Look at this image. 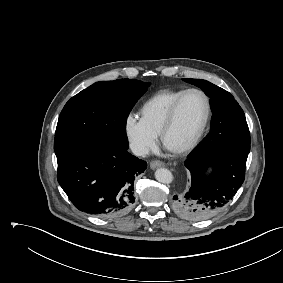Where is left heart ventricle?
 I'll return each instance as SVG.
<instances>
[{
    "instance_id": "obj_1",
    "label": "left heart ventricle",
    "mask_w": 283,
    "mask_h": 283,
    "mask_svg": "<svg viewBox=\"0 0 283 283\" xmlns=\"http://www.w3.org/2000/svg\"><path fill=\"white\" fill-rule=\"evenodd\" d=\"M205 112L206 105L201 95H187L178 109L174 124L166 134V147L175 150L187 145L198 132Z\"/></svg>"
}]
</instances>
